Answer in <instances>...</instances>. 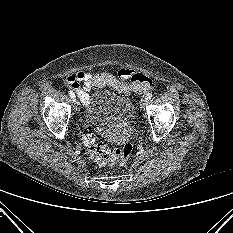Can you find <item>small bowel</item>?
Wrapping results in <instances>:
<instances>
[{
	"label": "small bowel",
	"instance_id": "small-bowel-1",
	"mask_svg": "<svg viewBox=\"0 0 233 233\" xmlns=\"http://www.w3.org/2000/svg\"><path fill=\"white\" fill-rule=\"evenodd\" d=\"M132 74L133 71L129 69H121L118 72V75L121 79H127ZM91 77L92 74L89 72L77 71L69 75L66 79L67 85L76 92L84 104H88L90 100L88 92L91 89Z\"/></svg>",
	"mask_w": 233,
	"mask_h": 233
}]
</instances>
